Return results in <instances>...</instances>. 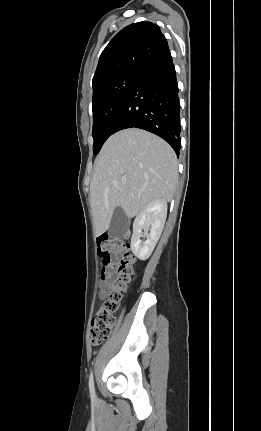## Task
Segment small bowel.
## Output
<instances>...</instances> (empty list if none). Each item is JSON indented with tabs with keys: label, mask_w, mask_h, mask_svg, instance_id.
<instances>
[{
	"label": "small bowel",
	"mask_w": 261,
	"mask_h": 431,
	"mask_svg": "<svg viewBox=\"0 0 261 431\" xmlns=\"http://www.w3.org/2000/svg\"><path fill=\"white\" fill-rule=\"evenodd\" d=\"M115 268L113 266L105 267L101 271L99 283V297L103 299L111 290L114 280Z\"/></svg>",
	"instance_id": "1"
}]
</instances>
